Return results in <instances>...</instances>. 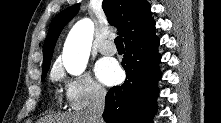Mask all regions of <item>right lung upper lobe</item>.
<instances>
[{"mask_svg":"<svg viewBox=\"0 0 221 123\" xmlns=\"http://www.w3.org/2000/svg\"><path fill=\"white\" fill-rule=\"evenodd\" d=\"M102 8L109 24L117 27L118 34L124 37L125 44L143 38L155 30L151 7L146 0H103ZM78 11L79 4H75L52 20L43 46V66L50 64L60 32Z\"/></svg>","mask_w":221,"mask_h":123,"instance_id":"cb5924a9","label":"right lung upper lobe"}]
</instances>
